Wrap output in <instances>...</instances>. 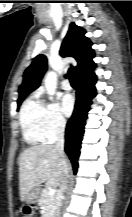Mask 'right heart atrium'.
<instances>
[{
  "mask_svg": "<svg viewBox=\"0 0 132 217\" xmlns=\"http://www.w3.org/2000/svg\"><path fill=\"white\" fill-rule=\"evenodd\" d=\"M66 127V121L62 116L59 107L55 103L44 105L43 113V134L47 141H52L60 136Z\"/></svg>",
  "mask_w": 132,
  "mask_h": 217,
  "instance_id": "1",
  "label": "right heart atrium"
}]
</instances>
